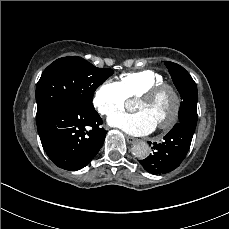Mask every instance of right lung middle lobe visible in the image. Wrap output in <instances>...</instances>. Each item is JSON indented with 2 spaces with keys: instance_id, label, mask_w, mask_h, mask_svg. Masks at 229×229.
Here are the masks:
<instances>
[{
  "instance_id": "right-lung-middle-lobe-1",
  "label": "right lung middle lobe",
  "mask_w": 229,
  "mask_h": 229,
  "mask_svg": "<svg viewBox=\"0 0 229 229\" xmlns=\"http://www.w3.org/2000/svg\"><path fill=\"white\" fill-rule=\"evenodd\" d=\"M112 74L113 70L97 68L81 57L57 59L44 70L37 83L36 122L66 102L94 110V92Z\"/></svg>"
}]
</instances>
